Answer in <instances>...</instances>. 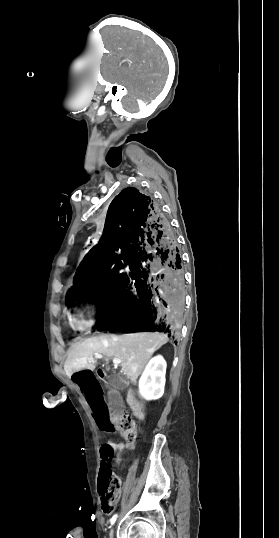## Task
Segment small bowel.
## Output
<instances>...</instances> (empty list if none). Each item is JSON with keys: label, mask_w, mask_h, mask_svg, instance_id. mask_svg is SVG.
I'll return each mask as SVG.
<instances>
[{"label": "small bowel", "mask_w": 279, "mask_h": 538, "mask_svg": "<svg viewBox=\"0 0 279 538\" xmlns=\"http://www.w3.org/2000/svg\"><path fill=\"white\" fill-rule=\"evenodd\" d=\"M110 446L114 449V451L118 454V461L121 460V456L134 448L132 444H124L122 442H110Z\"/></svg>", "instance_id": "1"}]
</instances>
